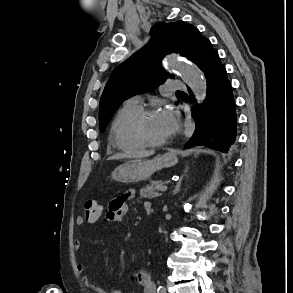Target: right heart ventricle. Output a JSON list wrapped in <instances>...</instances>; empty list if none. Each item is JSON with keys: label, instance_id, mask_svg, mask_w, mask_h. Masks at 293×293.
Wrapping results in <instances>:
<instances>
[{"label": "right heart ventricle", "instance_id": "right-heart-ventricle-1", "mask_svg": "<svg viewBox=\"0 0 293 293\" xmlns=\"http://www.w3.org/2000/svg\"><path fill=\"white\" fill-rule=\"evenodd\" d=\"M140 106L125 103L116 113L110 128V143L122 152L136 153L146 148L134 133V120Z\"/></svg>", "mask_w": 293, "mask_h": 293}]
</instances>
